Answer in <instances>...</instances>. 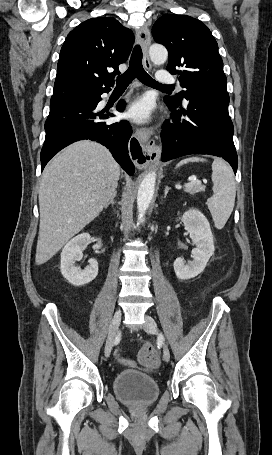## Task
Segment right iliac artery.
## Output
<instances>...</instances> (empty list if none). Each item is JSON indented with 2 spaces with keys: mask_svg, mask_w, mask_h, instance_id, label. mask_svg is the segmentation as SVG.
Masks as SVG:
<instances>
[{
  "mask_svg": "<svg viewBox=\"0 0 272 455\" xmlns=\"http://www.w3.org/2000/svg\"><path fill=\"white\" fill-rule=\"evenodd\" d=\"M119 337H120V334H118V336H117V338H116V339H119Z\"/></svg>",
  "mask_w": 272,
  "mask_h": 455,
  "instance_id": "1",
  "label": "right iliac artery"
}]
</instances>
